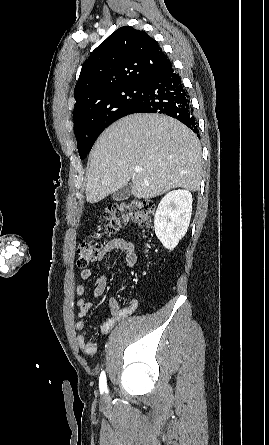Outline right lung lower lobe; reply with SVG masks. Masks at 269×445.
<instances>
[{"instance_id": "obj_1", "label": "right lung lower lobe", "mask_w": 269, "mask_h": 445, "mask_svg": "<svg viewBox=\"0 0 269 445\" xmlns=\"http://www.w3.org/2000/svg\"><path fill=\"white\" fill-rule=\"evenodd\" d=\"M133 113L166 114L181 121L199 136L190 96L171 62L148 79L145 93L130 114Z\"/></svg>"}]
</instances>
